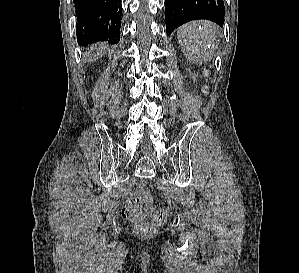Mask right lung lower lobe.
<instances>
[{
	"mask_svg": "<svg viewBox=\"0 0 299 273\" xmlns=\"http://www.w3.org/2000/svg\"><path fill=\"white\" fill-rule=\"evenodd\" d=\"M80 46L97 41L115 44L120 39L121 0H73Z\"/></svg>",
	"mask_w": 299,
	"mask_h": 273,
	"instance_id": "obj_1",
	"label": "right lung lower lobe"
}]
</instances>
